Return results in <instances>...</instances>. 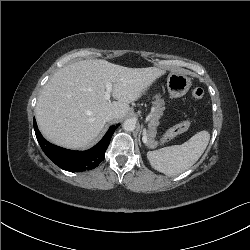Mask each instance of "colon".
<instances>
[{
  "label": "colon",
  "mask_w": 250,
  "mask_h": 250,
  "mask_svg": "<svg viewBox=\"0 0 250 250\" xmlns=\"http://www.w3.org/2000/svg\"><path fill=\"white\" fill-rule=\"evenodd\" d=\"M192 96L196 100L202 99L204 96V90L202 88H195L192 91ZM189 127H190L189 121H184V122H181V123L173 126L164 134V136L161 139V143L162 144L167 143L168 141H170L171 139H173L177 135L186 132L189 129Z\"/></svg>",
  "instance_id": "colon-1"
}]
</instances>
